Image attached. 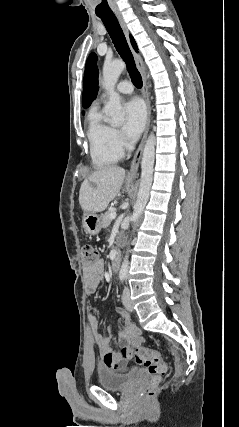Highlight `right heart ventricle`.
Listing matches in <instances>:
<instances>
[{"label": "right heart ventricle", "mask_w": 239, "mask_h": 427, "mask_svg": "<svg viewBox=\"0 0 239 427\" xmlns=\"http://www.w3.org/2000/svg\"><path fill=\"white\" fill-rule=\"evenodd\" d=\"M87 137L91 160L95 167L104 168L113 165L122 157V151L114 141V129L98 110H92L88 116Z\"/></svg>", "instance_id": "obj_1"}]
</instances>
